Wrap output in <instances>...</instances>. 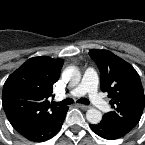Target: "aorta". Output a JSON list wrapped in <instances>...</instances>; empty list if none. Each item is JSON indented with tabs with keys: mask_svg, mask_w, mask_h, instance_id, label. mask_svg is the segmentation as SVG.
Here are the masks:
<instances>
[{
	"mask_svg": "<svg viewBox=\"0 0 145 145\" xmlns=\"http://www.w3.org/2000/svg\"><path fill=\"white\" fill-rule=\"evenodd\" d=\"M63 79L66 82H69V85L71 87H74L80 82L81 74H80L79 70L76 67L70 66V67H68V68H66L64 70ZM86 119L91 124H97L102 119V113L99 110L95 109V108H90L86 112Z\"/></svg>",
	"mask_w": 145,
	"mask_h": 145,
	"instance_id": "762f6f07",
	"label": "aorta"
}]
</instances>
